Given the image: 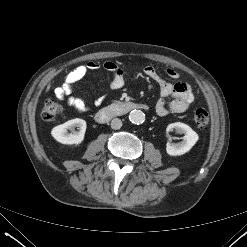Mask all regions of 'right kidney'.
Wrapping results in <instances>:
<instances>
[{
	"label": "right kidney",
	"mask_w": 247,
	"mask_h": 247,
	"mask_svg": "<svg viewBox=\"0 0 247 247\" xmlns=\"http://www.w3.org/2000/svg\"><path fill=\"white\" fill-rule=\"evenodd\" d=\"M79 129V132H75V128ZM86 121L80 118H75L69 120L63 124L55 126L51 130L52 137L66 145L80 144L84 140V135L86 131ZM67 130H70L72 133H68Z\"/></svg>",
	"instance_id": "1"
}]
</instances>
